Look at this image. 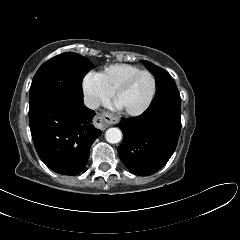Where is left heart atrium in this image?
Returning <instances> with one entry per match:
<instances>
[{"label":"left heart atrium","mask_w":240,"mask_h":240,"mask_svg":"<svg viewBox=\"0 0 240 240\" xmlns=\"http://www.w3.org/2000/svg\"><path fill=\"white\" fill-rule=\"evenodd\" d=\"M116 105H117L118 108H123V106L119 102H117Z\"/></svg>","instance_id":"1"}]
</instances>
